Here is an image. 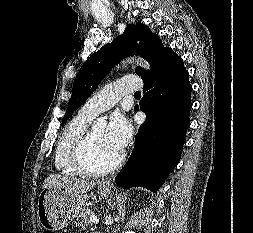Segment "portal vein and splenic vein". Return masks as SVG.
Returning a JSON list of instances; mask_svg holds the SVG:
<instances>
[{"label":"portal vein and splenic vein","mask_w":253,"mask_h":233,"mask_svg":"<svg viewBox=\"0 0 253 233\" xmlns=\"http://www.w3.org/2000/svg\"><path fill=\"white\" fill-rule=\"evenodd\" d=\"M90 220H91L93 223H96V224L99 223V220H98L97 217L94 216V215H91V216H90Z\"/></svg>","instance_id":"obj_1"}]
</instances>
